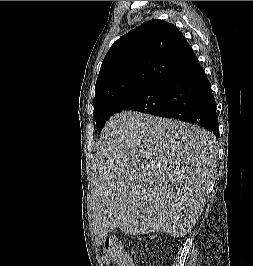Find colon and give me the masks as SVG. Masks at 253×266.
<instances>
[{
    "label": "colon",
    "mask_w": 253,
    "mask_h": 266,
    "mask_svg": "<svg viewBox=\"0 0 253 266\" xmlns=\"http://www.w3.org/2000/svg\"><path fill=\"white\" fill-rule=\"evenodd\" d=\"M102 260L108 265L134 266L132 255L117 238H107L101 244Z\"/></svg>",
    "instance_id": "1"
}]
</instances>
